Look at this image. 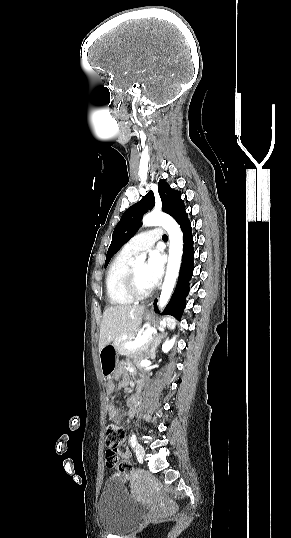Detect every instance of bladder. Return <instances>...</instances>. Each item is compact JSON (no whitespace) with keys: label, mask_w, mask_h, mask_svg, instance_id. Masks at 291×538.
I'll use <instances>...</instances> for the list:
<instances>
[{"label":"bladder","mask_w":291,"mask_h":538,"mask_svg":"<svg viewBox=\"0 0 291 538\" xmlns=\"http://www.w3.org/2000/svg\"><path fill=\"white\" fill-rule=\"evenodd\" d=\"M97 514L106 533L123 535L144 516L145 508L128 495L121 482L110 480L99 497Z\"/></svg>","instance_id":"bladder-1"}]
</instances>
